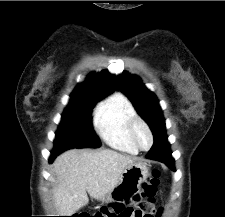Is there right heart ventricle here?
<instances>
[{
    "instance_id": "e07e8e85",
    "label": "right heart ventricle",
    "mask_w": 225,
    "mask_h": 217,
    "mask_svg": "<svg viewBox=\"0 0 225 217\" xmlns=\"http://www.w3.org/2000/svg\"><path fill=\"white\" fill-rule=\"evenodd\" d=\"M137 117L134 105L122 93H115L96 110L95 128L104 142L113 149L137 154L139 149L129 135L130 122Z\"/></svg>"
}]
</instances>
